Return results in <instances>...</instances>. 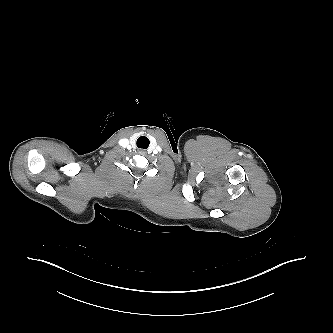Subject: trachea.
<instances>
[{"mask_svg":"<svg viewBox=\"0 0 333 333\" xmlns=\"http://www.w3.org/2000/svg\"><path fill=\"white\" fill-rule=\"evenodd\" d=\"M150 144V141L147 137L141 136L137 139V147L142 149H147Z\"/></svg>","mask_w":333,"mask_h":333,"instance_id":"obj_1","label":"trachea"}]
</instances>
